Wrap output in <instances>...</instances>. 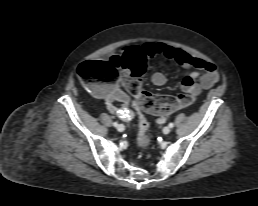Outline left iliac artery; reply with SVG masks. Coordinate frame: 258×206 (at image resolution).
I'll return each mask as SVG.
<instances>
[{
    "label": "left iliac artery",
    "instance_id": "obj_1",
    "mask_svg": "<svg viewBox=\"0 0 258 206\" xmlns=\"http://www.w3.org/2000/svg\"><path fill=\"white\" fill-rule=\"evenodd\" d=\"M169 127H170V128H173V127H174V124H173V123H169Z\"/></svg>",
    "mask_w": 258,
    "mask_h": 206
}]
</instances>
